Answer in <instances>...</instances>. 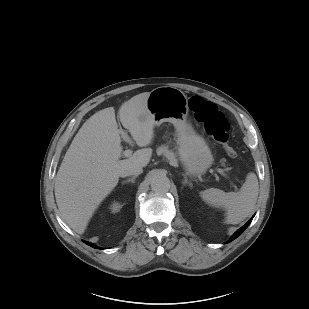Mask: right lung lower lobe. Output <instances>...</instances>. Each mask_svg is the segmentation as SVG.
<instances>
[{"label": "right lung lower lobe", "mask_w": 309, "mask_h": 309, "mask_svg": "<svg viewBox=\"0 0 309 309\" xmlns=\"http://www.w3.org/2000/svg\"><path fill=\"white\" fill-rule=\"evenodd\" d=\"M84 243H86L87 245H89V246H91V247H93V248H98L97 246H95L94 244H92V243H90V242H86V241H84Z\"/></svg>", "instance_id": "right-lung-lower-lobe-1"}]
</instances>
